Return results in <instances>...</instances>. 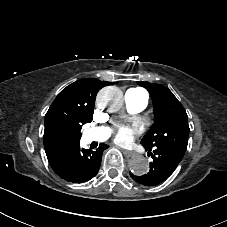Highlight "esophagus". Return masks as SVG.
<instances>
[{
	"label": "esophagus",
	"instance_id": "obj_1",
	"mask_svg": "<svg viewBox=\"0 0 227 227\" xmlns=\"http://www.w3.org/2000/svg\"><path fill=\"white\" fill-rule=\"evenodd\" d=\"M123 152L132 158H135L137 156V153L135 151H129V150L123 149Z\"/></svg>",
	"mask_w": 227,
	"mask_h": 227
}]
</instances>
